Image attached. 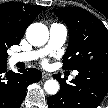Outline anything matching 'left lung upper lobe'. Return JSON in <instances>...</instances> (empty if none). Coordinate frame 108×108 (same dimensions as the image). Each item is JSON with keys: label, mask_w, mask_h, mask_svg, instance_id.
<instances>
[{"label": "left lung upper lobe", "mask_w": 108, "mask_h": 108, "mask_svg": "<svg viewBox=\"0 0 108 108\" xmlns=\"http://www.w3.org/2000/svg\"><path fill=\"white\" fill-rule=\"evenodd\" d=\"M54 13L69 28V44L63 56L68 70L108 67V30L90 12L79 7L60 8Z\"/></svg>", "instance_id": "obj_1"}]
</instances>
